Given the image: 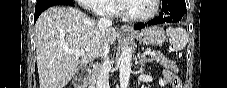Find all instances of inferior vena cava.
I'll use <instances>...</instances> for the list:
<instances>
[{"label":"inferior vena cava","instance_id":"obj_1","mask_svg":"<svg viewBox=\"0 0 227 88\" xmlns=\"http://www.w3.org/2000/svg\"><path fill=\"white\" fill-rule=\"evenodd\" d=\"M99 29L101 30V40L104 41L105 32L106 30L111 27L112 21L109 18L103 17L100 18L97 22ZM106 40V39H105ZM110 51V46L106 42L102 44V49L100 50L99 57L103 58L104 62L100 66L98 73H97V88H109V70H110V63L108 54Z\"/></svg>","mask_w":227,"mask_h":88}]
</instances>
